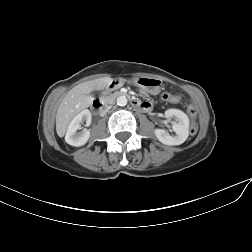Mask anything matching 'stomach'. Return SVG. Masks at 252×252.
Segmentation results:
<instances>
[{
	"mask_svg": "<svg viewBox=\"0 0 252 252\" xmlns=\"http://www.w3.org/2000/svg\"><path fill=\"white\" fill-rule=\"evenodd\" d=\"M133 83L141 90L146 91L152 95H157L162 87L160 79L149 76L136 77L133 79Z\"/></svg>",
	"mask_w": 252,
	"mask_h": 252,
	"instance_id": "obj_1",
	"label": "stomach"
}]
</instances>
